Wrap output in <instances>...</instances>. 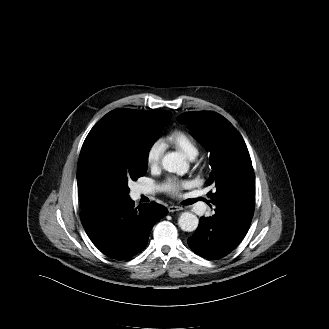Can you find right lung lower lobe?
<instances>
[{"label": "right lung lower lobe", "instance_id": "98d812e1", "mask_svg": "<svg viewBox=\"0 0 329 329\" xmlns=\"http://www.w3.org/2000/svg\"><path fill=\"white\" fill-rule=\"evenodd\" d=\"M167 212L155 202L134 208L128 197L103 199L84 206L80 218L99 250L114 259H127L146 247L153 225Z\"/></svg>", "mask_w": 329, "mask_h": 329}]
</instances>
